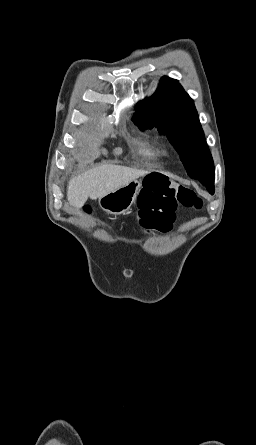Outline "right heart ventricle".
<instances>
[{"label": "right heart ventricle", "mask_w": 256, "mask_h": 445, "mask_svg": "<svg viewBox=\"0 0 256 445\" xmlns=\"http://www.w3.org/2000/svg\"><path fill=\"white\" fill-rule=\"evenodd\" d=\"M140 154L149 161H155L157 159L155 147L145 141L140 142Z\"/></svg>", "instance_id": "e07e8e85"}]
</instances>
